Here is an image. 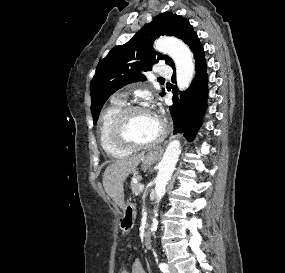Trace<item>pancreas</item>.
Returning <instances> with one entry per match:
<instances>
[{
	"label": "pancreas",
	"instance_id": "cf45deb5",
	"mask_svg": "<svg viewBox=\"0 0 285 273\" xmlns=\"http://www.w3.org/2000/svg\"><path fill=\"white\" fill-rule=\"evenodd\" d=\"M137 180H139V178L137 177L136 178ZM139 186H140V184L139 183H133V182H131V188H132V193L135 195V196H138V195H140V190H139Z\"/></svg>",
	"mask_w": 285,
	"mask_h": 273
}]
</instances>
